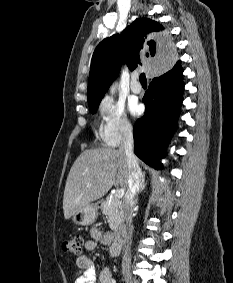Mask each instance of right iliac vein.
<instances>
[{"instance_id": "obj_1", "label": "right iliac vein", "mask_w": 233, "mask_h": 283, "mask_svg": "<svg viewBox=\"0 0 233 283\" xmlns=\"http://www.w3.org/2000/svg\"><path fill=\"white\" fill-rule=\"evenodd\" d=\"M125 281H126V283H135L133 281V279L131 278V276H129V275H125Z\"/></svg>"}]
</instances>
